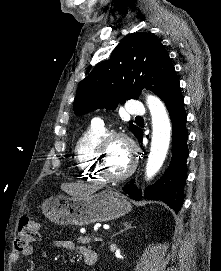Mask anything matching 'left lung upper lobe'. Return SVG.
Listing matches in <instances>:
<instances>
[{
    "label": "left lung upper lobe",
    "instance_id": "left-lung-upper-lobe-1",
    "mask_svg": "<svg viewBox=\"0 0 221 271\" xmlns=\"http://www.w3.org/2000/svg\"><path fill=\"white\" fill-rule=\"evenodd\" d=\"M178 81L161 41L146 33H134L80 82L73 109L76 115L96 108L115 109L120 102L137 99L143 88L162 98ZM129 127L135 136L141 130L132 123Z\"/></svg>",
    "mask_w": 221,
    "mask_h": 271
}]
</instances>
